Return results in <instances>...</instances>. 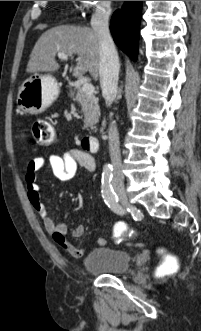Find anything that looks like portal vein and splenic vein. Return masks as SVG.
Instances as JSON below:
<instances>
[{"label": "portal vein and splenic vein", "mask_w": 201, "mask_h": 331, "mask_svg": "<svg viewBox=\"0 0 201 331\" xmlns=\"http://www.w3.org/2000/svg\"><path fill=\"white\" fill-rule=\"evenodd\" d=\"M57 56H58V58L61 59V60H65V61L68 60V56H67L66 54L58 53ZM82 90H83V92H85L86 94H93V93L95 92V88H94V86H93L91 83H88V82H85V83L82 85Z\"/></svg>", "instance_id": "18ae733b"}]
</instances>
